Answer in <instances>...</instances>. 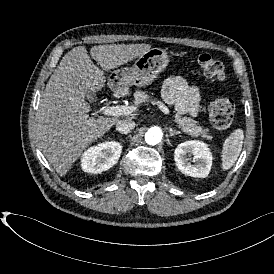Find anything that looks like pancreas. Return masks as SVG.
I'll return each instance as SVG.
<instances>
[{
    "label": "pancreas",
    "instance_id": "pancreas-1",
    "mask_svg": "<svg viewBox=\"0 0 274 274\" xmlns=\"http://www.w3.org/2000/svg\"><path fill=\"white\" fill-rule=\"evenodd\" d=\"M135 104H140L143 102L152 101L150 96L146 94V92L137 90L134 93ZM174 122L177 123V126L185 133L193 136L198 137L202 136L207 139H212V136L209 133L208 128H203L199 126L197 121L193 120L190 117H181L180 115H175Z\"/></svg>",
    "mask_w": 274,
    "mask_h": 274
}]
</instances>
